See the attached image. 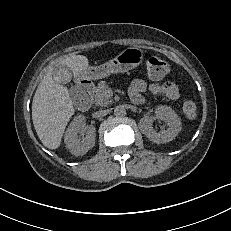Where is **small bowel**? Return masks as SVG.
<instances>
[{
  "label": "small bowel",
  "mask_w": 231,
  "mask_h": 231,
  "mask_svg": "<svg viewBox=\"0 0 231 231\" xmlns=\"http://www.w3.org/2000/svg\"><path fill=\"white\" fill-rule=\"evenodd\" d=\"M149 90L153 94H161L170 100H176L179 98V89L173 82H155L150 85L143 79L136 78L132 81L130 86V95L135 102H141V93Z\"/></svg>",
  "instance_id": "small-bowel-1"
}]
</instances>
